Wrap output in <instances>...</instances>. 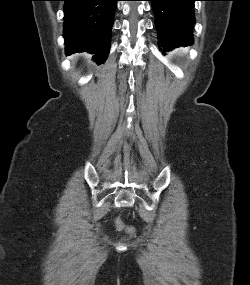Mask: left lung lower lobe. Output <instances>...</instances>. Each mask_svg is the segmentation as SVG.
I'll use <instances>...</instances> for the list:
<instances>
[{"label":"left lung lower lobe","mask_w":250,"mask_h":285,"mask_svg":"<svg viewBox=\"0 0 250 285\" xmlns=\"http://www.w3.org/2000/svg\"><path fill=\"white\" fill-rule=\"evenodd\" d=\"M155 14L159 42L165 51L193 44L194 2L198 0H149Z\"/></svg>","instance_id":"0a47b994"}]
</instances>
